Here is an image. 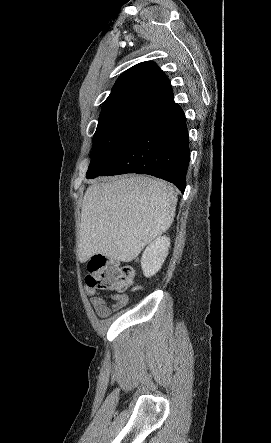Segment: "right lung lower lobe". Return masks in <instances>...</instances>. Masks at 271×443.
I'll list each match as a JSON object with an SVG mask.
<instances>
[{
	"label": "right lung lower lobe",
	"mask_w": 271,
	"mask_h": 443,
	"mask_svg": "<svg viewBox=\"0 0 271 443\" xmlns=\"http://www.w3.org/2000/svg\"><path fill=\"white\" fill-rule=\"evenodd\" d=\"M188 165L186 118L171 98L146 111L123 138L109 162L87 178L149 174L175 184L184 192Z\"/></svg>",
	"instance_id": "1"
}]
</instances>
